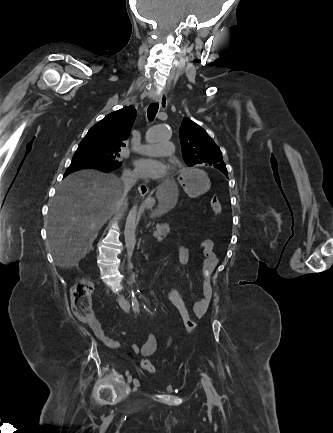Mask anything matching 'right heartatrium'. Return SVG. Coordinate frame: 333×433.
Returning a JSON list of instances; mask_svg holds the SVG:
<instances>
[{
  "mask_svg": "<svg viewBox=\"0 0 333 433\" xmlns=\"http://www.w3.org/2000/svg\"><path fill=\"white\" fill-rule=\"evenodd\" d=\"M127 175L129 177H134L135 176V174H134V172L132 170H127Z\"/></svg>",
  "mask_w": 333,
  "mask_h": 433,
  "instance_id": "obj_1",
  "label": "right heart atrium"
}]
</instances>
